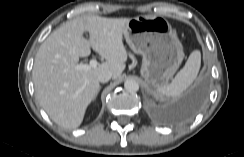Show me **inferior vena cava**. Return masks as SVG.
Instances as JSON below:
<instances>
[{
  "instance_id": "1",
  "label": "inferior vena cava",
  "mask_w": 244,
  "mask_h": 157,
  "mask_svg": "<svg viewBox=\"0 0 244 157\" xmlns=\"http://www.w3.org/2000/svg\"><path fill=\"white\" fill-rule=\"evenodd\" d=\"M112 77V73L110 71H102L99 75H98V80L99 82L105 83L108 82Z\"/></svg>"
}]
</instances>
